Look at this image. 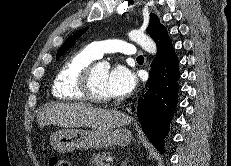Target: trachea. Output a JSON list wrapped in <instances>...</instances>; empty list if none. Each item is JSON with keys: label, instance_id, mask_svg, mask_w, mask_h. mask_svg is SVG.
Returning a JSON list of instances; mask_svg holds the SVG:
<instances>
[{"label": "trachea", "instance_id": "1", "mask_svg": "<svg viewBox=\"0 0 231 166\" xmlns=\"http://www.w3.org/2000/svg\"><path fill=\"white\" fill-rule=\"evenodd\" d=\"M142 60L144 61V57L143 56L140 55V56L137 57V61H142Z\"/></svg>", "mask_w": 231, "mask_h": 166}]
</instances>
